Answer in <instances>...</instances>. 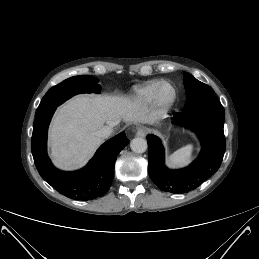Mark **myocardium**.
<instances>
[{"label":"myocardium","mask_w":259,"mask_h":259,"mask_svg":"<svg viewBox=\"0 0 259 259\" xmlns=\"http://www.w3.org/2000/svg\"><path fill=\"white\" fill-rule=\"evenodd\" d=\"M164 88H169L171 90V95L168 98H165L162 94ZM176 98L177 91L175 86L170 82L164 81L161 82L155 92L154 102L158 107L162 109H169L174 105Z\"/></svg>","instance_id":"1"}]
</instances>
